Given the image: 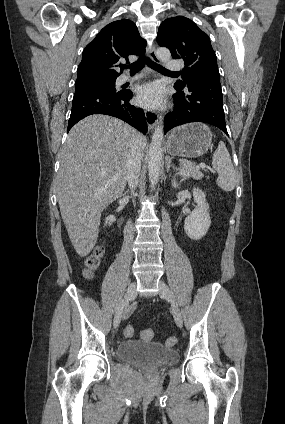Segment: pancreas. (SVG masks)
<instances>
[{"mask_svg":"<svg viewBox=\"0 0 285 424\" xmlns=\"http://www.w3.org/2000/svg\"><path fill=\"white\" fill-rule=\"evenodd\" d=\"M179 175H181L183 178H194V179H201L203 178V173L199 171V169L193 167L188 162H182L179 167Z\"/></svg>","mask_w":285,"mask_h":424,"instance_id":"obj_1","label":"pancreas"}]
</instances>
